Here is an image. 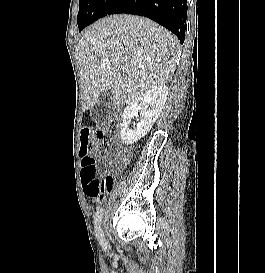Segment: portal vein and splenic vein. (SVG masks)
Instances as JSON below:
<instances>
[{"label": "portal vein and splenic vein", "instance_id": "obj_1", "mask_svg": "<svg viewBox=\"0 0 265 273\" xmlns=\"http://www.w3.org/2000/svg\"><path fill=\"white\" fill-rule=\"evenodd\" d=\"M121 69H122L123 72L127 71L126 67H122Z\"/></svg>", "mask_w": 265, "mask_h": 273}]
</instances>
